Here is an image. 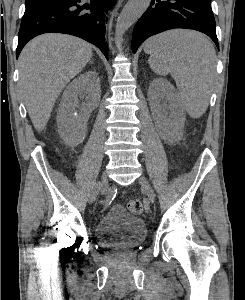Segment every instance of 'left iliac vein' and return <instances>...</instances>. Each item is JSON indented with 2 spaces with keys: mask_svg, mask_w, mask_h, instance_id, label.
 <instances>
[{
  "mask_svg": "<svg viewBox=\"0 0 245 300\" xmlns=\"http://www.w3.org/2000/svg\"><path fill=\"white\" fill-rule=\"evenodd\" d=\"M139 184L141 185L142 189L146 193L148 199L151 202H154L155 193H154V190H153L151 184L149 183V181L144 176H141L139 179Z\"/></svg>",
  "mask_w": 245,
  "mask_h": 300,
  "instance_id": "4c4485c4",
  "label": "left iliac vein"
}]
</instances>
